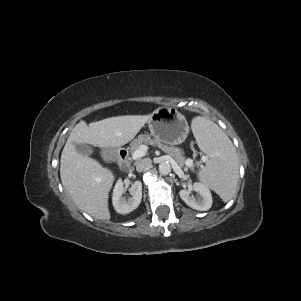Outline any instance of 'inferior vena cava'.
<instances>
[{
	"instance_id": "obj_1",
	"label": "inferior vena cava",
	"mask_w": 301,
	"mask_h": 301,
	"mask_svg": "<svg viewBox=\"0 0 301 301\" xmlns=\"http://www.w3.org/2000/svg\"><path fill=\"white\" fill-rule=\"evenodd\" d=\"M152 161L150 158L142 159L137 163L136 170L138 172L146 171L151 167Z\"/></svg>"
}]
</instances>
